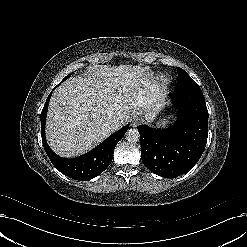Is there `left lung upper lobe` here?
Listing matches in <instances>:
<instances>
[{
	"label": "left lung upper lobe",
	"mask_w": 247,
	"mask_h": 247,
	"mask_svg": "<svg viewBox=\"0 0 247 247\" xmlns=\"http://www.w3.org/2000/svg\"><path fill=\"white\" fill-rule=\"evenodd\" d=\"M178 81L175 90H186L199 86L183 69L178 68Z\"/></svg>",
	"instance_id": "1"
}]
</instances>
